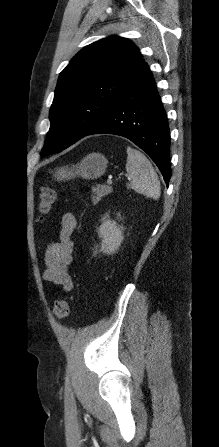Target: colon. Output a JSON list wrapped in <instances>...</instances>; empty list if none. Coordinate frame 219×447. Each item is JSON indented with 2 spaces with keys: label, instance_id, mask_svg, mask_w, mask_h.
Segmentation results:
<instances>
[{
  "label": "colon",
  "instance_id": "colon-1",
  "mask_svg": "<svg viewBox=\"0 0 219 447\" xmlns=\"http://www.w3.org/2000/svg\"><path fill=\"white\" fill-rule=\"evenodd\" d=\"M57 193L51 187H44L40 194L38 213L40 218L47 216L55 201ZM70 314V303L67 300H57L54 303V315L58 319H64Z\"/></svg>",
  "mask_w": 219,
  "mask_h": 447
}]
</instances>
